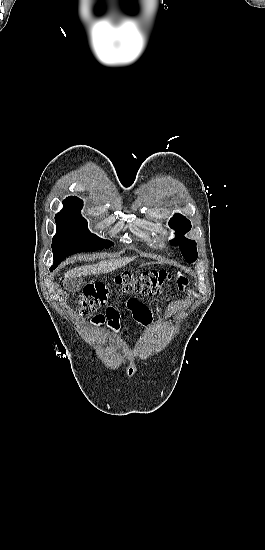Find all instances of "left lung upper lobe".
<instances>
[{
    "instance_id": "5c2ea615",
    "label": "left lung upper lobe",
    "mask_w": 265,
    "mask_h": 550,
    "mask_svg": "<svg viewBox=\"0 0 265 550\" xmlns=\"http://www.w3.org/2000/svg\"><path fill=\"white\" fill-rule=\"evenodd\" d=\"M169 226L175 230L177 235V238L172 240L171 243L179 245L181 253L188 263L194 262L197 259L196 242L183 237L191 229L190 221L177 214L171 218Z\"/></svg>"
}]
</instances>
